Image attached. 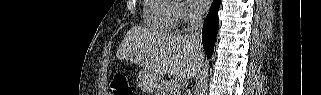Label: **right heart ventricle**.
<instances>
[{"instance_id":"e07e8e85","label":"right heart ventricle","mask_w":321,"mask_h":95,"mask_svg":"<svg viewBox=\"0 0 321 95\" xmlns=\"http://www.w3.org/2000/svg\"><path fill=\"white\" fill-rule=\"evenodd\" d=\"M145 24L160 32H169L176 26L173 3L169 0H146L144 4Z\"/></svg>"}]
</instances>
